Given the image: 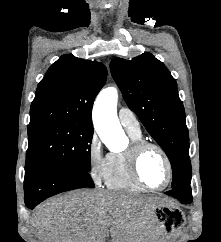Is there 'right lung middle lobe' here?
<instances>
[{
	"mask_svg": "<svg viewBox=\"0 0 221 242\" xmlns=\"http://www.w3.org/2000/svg\"><path fill=\"white\" fill-rule=\"evenodd\" d=\"M92 136V126L75 122L29 126L26 165L51 162L89 172Z\"/></svg>",
	"mask_w": 221,
	"mask_h": 242,
	"instance_id": "dd1d6c3e",
	"label": "right lung middle lobe"
}]
</instances>
